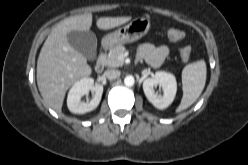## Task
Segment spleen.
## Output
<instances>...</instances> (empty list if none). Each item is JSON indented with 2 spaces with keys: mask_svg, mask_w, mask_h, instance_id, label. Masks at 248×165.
Instances as JSON below:
<instances>
[{
  "mask_svg": "<svg viewBox=\"0 0 248 165\" xmlns=\"http://www.w3.org/2000/svg\"><path fill=\"white\" fill-rule=\"evenodd\" d=\"M206 82V63L200 60L184 67L182 71L183 97L176 112L190 107L201 95Z\"/></svg>",
  "mask_w": 248,
  "mask_h": 165,
  "instance_id": "1",
  "label": "spleen"
}]
</instances>
